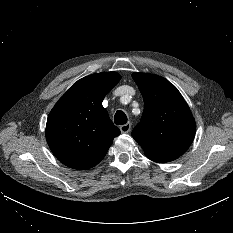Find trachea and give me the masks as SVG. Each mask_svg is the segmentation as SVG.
Returning <instances> with one entry per match:
<instances>
[{"label":"trachea","mask_w":233,"mask_h":233,"mask_svg":"<svg viewBox=\"0 0 233 233\" xmlns=\"http://www.w3.org/2000/svg\"><path fill=\"white\" fill-rule=\"evenodd\" d=\"M114 122L117 125H123L127 122V116L122 110H118L114 116Z\"/></svg>","instance_id":"1"}]
</instances>
